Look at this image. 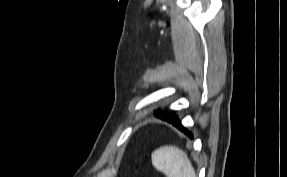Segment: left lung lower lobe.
I'll use <instances>...</instances> for the list:
<instances>
[{"label":"left lung lower lobe","mask_w":287,"mask_h":177,"mask_svg":"<svg viewBox=\"0 0 287 177\" xmlns=\"http://www.w3.org/2000/svg\"><path fill=\"white\" fill-rule=\"evenodd\" d=\"M161 119L173 124L174 126H176L178 129H180L181 131H183L187 136H189L191 139L193 138V135L190 131H188L187 129H185L181 122L178 120L177 116L175 115H171V116H164V117H160Z\"/></svg>","instance_id":"0a47b994"}]
</instances>
